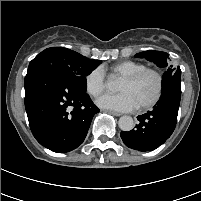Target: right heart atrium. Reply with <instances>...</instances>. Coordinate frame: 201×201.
I'll return each mask as SVG.
<instances>
[{
    "mask_svg": "<svg viewBox=\"0 0 201 201\" xmlns=\"http://www.w3.org/2000/svg\"><path fill=\"white\" fill-rule=\"evenodd\" d=\"M106 74L102 67L92 69L85 76V89L92 97H98L105 89Z\"/></svg>",
    "mask_w": 201,
    "mask_h": 201,
    "instance_id": "1",
    "label": "right heart atrium"
}]
</instances>
